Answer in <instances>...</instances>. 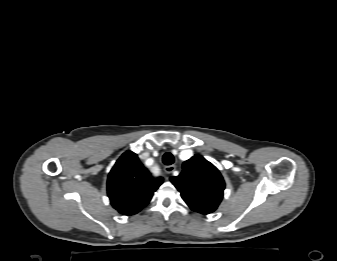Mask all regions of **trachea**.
Returning a JSON list of instances; mask_svg holds the SVG:
<instances>
[{
    "label": "trachea",
    "mask_w": 337,
    "mask_h": 261,
    "mask_svg": "<svg viewBox=\"0 0 337 261\" xmlns=\"http://www.w3.org/2000/svg\"><path fill=\"white\" fill-rule=\"evenodd\" d=\"M162 160L165 165H171L174 163V157L171 153H165Z\"/></svg>",
    "instance_id": "trachea-1"
}]
</instances>
